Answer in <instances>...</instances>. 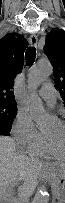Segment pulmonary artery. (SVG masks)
<instances>
[{"label":"pulmonary artery","mask_w":65,"mask_h":203,"mask_svg":"<svg viewBox=\"0 0 65 203\" xmlns=\"http://www.w3.org/2000/svg\"><path fill=\"white\" fill-rule=\"evenodd\" d=\"M39 96L44 99L49 105H54L56 102V91L52 84L46 83L38 92Z\"/></svg>","instance_id":"pulmonary-artery-1"}]
</instances>
